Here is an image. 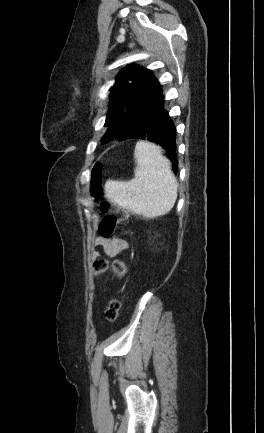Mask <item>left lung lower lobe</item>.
Segmentation results:
<instances>
[{
	"instance_id": "0a47b994",
	"label": "left lung lower lobe",
	"mask_w": 264,
	"mask_h": 433,
	"mask_svg": "<svg viewBox=\"0 0 264 433\" xmlns=\"http://www.w3.org/2000/svg\"><path fill=\"white\" fill-rule=\"evenodd\" d=\"M120 123L127 130L128 139L149 140L160 145L171 160L173 171L177 173L176 129L168 111L164 109L162 88L157 80L125 112Z\"/></svg>"
}]
</instances>
